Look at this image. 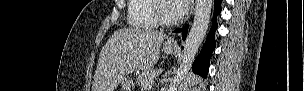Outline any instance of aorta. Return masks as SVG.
<instances>
[{"mask_svg":"<svg viewBox=\"0 0 304 91\" xmlns=\"http://www.w3.org/2000/svg\"><path fill=\"white\" fill-rule=\"evenodd\" d=\"M212 4L213 0H196L194 21L184 44L180 67L170 83L169 91H177L178 84L191 68L208 29Z\"/></svg>","mask_w":304,"mask_h":91,"instance_id":"762f6f07","label":"aorta"}]
</instances>
